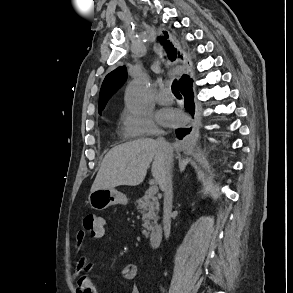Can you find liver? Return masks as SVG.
<instances>
[{"instance_id":"liver-1","label":"liver","mask_w":293,"mask_h":293,"mask_svg":"<svg viewBox=\"0 0 293 293\" xmlns=\"http://www.w3.org/2000/svg\"><path fill=\"white\" fill-rule=\"evenodd\" d=\"M173 156V154H172ZM152 162V175L160 184L166 170V155L153 139H139L112 148L104 157L91 192L117 186H137Z\"/></svg>"}]
</instances>
